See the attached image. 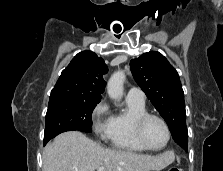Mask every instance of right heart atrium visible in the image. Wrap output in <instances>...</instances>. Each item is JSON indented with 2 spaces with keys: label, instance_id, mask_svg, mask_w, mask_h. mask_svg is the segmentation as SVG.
Wrapping results in <instances>:
<instances>
[{
  "label": "right heart atrium",
  "instance_id": "right-heart-atrium-1",
  "mask_svg": "<svg viewBox=\"0 0 223 171\" xmlns=\"http://www.w3.org/2000/svg\"><path fill=\"white\" fill-rule=\"evenodd\" d=\"M93 129L96 134L106 136L110 127V109L106 101H100L91 114Z\"/></svg>",
  "mask_w": 223,
  "mask_h": 171
}]
</instances>
